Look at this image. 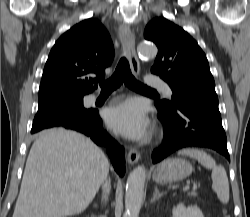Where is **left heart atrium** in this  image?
<instances>
[{"instance_id":"obj_1","label":"left heart atrium","mask_w":250,"mask_h":217,"mask_svg":"<svg viewBox=\"0 0 250 217\" xmlns=\"http://www.w3.org/2000/svg\"><path fill=\"white\" fill-rule=\"evenodd\" d=\"M108 126L116 133L141 140L149 133V120L143 107L135 100H127L107 110Z\"/></svg>"}]
</instances>
